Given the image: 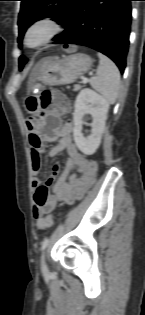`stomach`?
I'll return each mask as SVG.
<instances>
[{
	"label": "stomach",
	"mask_w": 145,
	"mask_h": 315,
	"mask_svg": "<svg viewBox=\"0 0 145 315\" xmlns=\"http://www.w3.org/2000/svg\"><path fill=\"white\" fill-rule=\"evenodd\" d=\"M40 63L42 68L36 80L50 85L73 83L92 67L91 57L84 53H76L63 58L49 57ZM22 109L24 112H29L30 116H37V109H39L37 95L27 94L22 102Z\"/></svg>",
	"instance_id": "1"
}]
</instances>
